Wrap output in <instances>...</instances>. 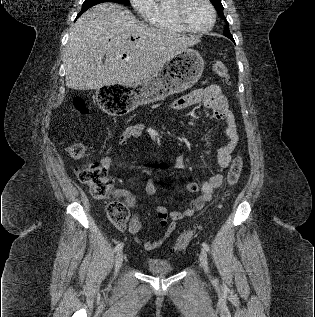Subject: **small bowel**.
I'll return each mask as SVG.
<instances>
[{
  "label": "small bowel",
  "instance_id": "obj_1",
  "mask_svg": "<svg viewBox=\"0 0 315 317\" xmlns=\"http://www.w3.org/2000/svg\"><path fill=\"white\" fill-rule=\"evenodd\" d=\"M202 103L204 108L211 112L212 117L216 121L225 122V133L227 136V143L220 147L215 158L221 170L227 168L231 163V154L235 149L238 140V129L235 121L234 114L229 108L228 102L224 95L221 93L220 87L216 84L207 86L204 89L195 90L179 99L173 104L174 110L180 111L191 105ZM145 130V125L137 123L128 126L119 138V144L124 145L129 140L141 136ZM101 164L109 169L113 160L110 155H105L101 159ZM185 167L184 158L182 155L176 157L175 168L183 169ZM223 174L221 172L212 175L208 180L202 184L195 182L188 183L186 189L190 193H198V195L190 201L188 207L183 211L168 210L163 205H157L155 212L159 218V225L164 230L163 235L154 241L142 240L137 235L141 230L142 223L138 214H133L128 230L134 235L136 242L143 245L146 250H153L161 246L174 232L176 224L179 220L189 218L199 211L204 205L212 200L214 192L222 185ZM145 191L148 195H155L157 192L156 179L151 178L148 180ZM118 194L124 197L130 207H135V198L127 191L120 190Z\"/></svg>",
  "mask_w": 315,
  "mask_h": 317
}]
</instances>
